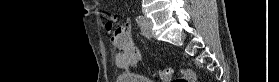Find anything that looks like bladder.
Instances as JSON below:
<instances>
[{
	"instance_id": "obj_1",
	"label": "bladder",
	"mask_w": 279,
	"mask_h": 82,
	"mask_svg": "<svg viewBox=\"0 0 279 82\" xmlns=\"http://www.w3.org/2000/svg\"><path fill=\"white\" fill-rule=\"evenodd\" d=\"M117 82H152L145 76L136 73L124 72L117 76Z\"/></svg>"
}]
</instances>
